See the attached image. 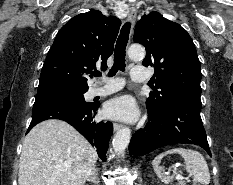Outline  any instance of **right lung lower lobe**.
<instances>
[{"instance_id":"obj_1","label":"right lung lower lobe","mask_w":233,"mask_h":185,"mask_svg":"<svg viewBox=\"0 0 233 185\" xmlns=\"http://www.w3.org/2000/svg\"><path fill=\"white\" fill-rule=\"evenodd\" d=\"M99 104L86 103L68 98L41 97L36 98L33 105L32 121L29 132L36 124L47 119L64 120L98 149L99 157L105 161L108 142L113 133L111 122H96L93 120Z\"/></svg>"}]
</instances>
